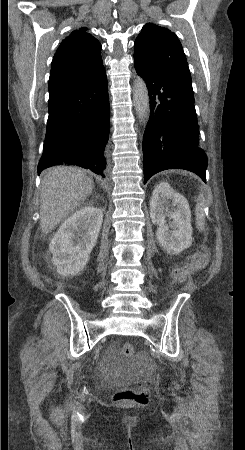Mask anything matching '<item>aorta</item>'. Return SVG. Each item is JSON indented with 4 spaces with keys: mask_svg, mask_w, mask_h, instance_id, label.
Instances as JSON below:
<instances>
[{
    "mask_svg": "<svg viewBox=\"0 0 245 450\" xmlns=\"http://www.w3.org/2000/svg\"><path fill=\"white\" fill-rule=\"evenodd\" d=\"M133 102L139 119L145 120L149 114V95L146 83L141 78L134 81Z\"/></svg>",
    "mask_w": 245,
    "mask_h": 450,
    "instance_id": "762f6f07",
    "label": "aorta"
}]
</instances>
